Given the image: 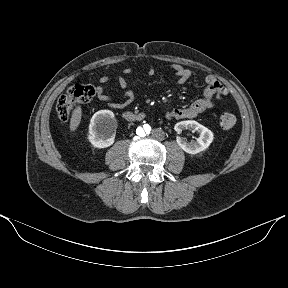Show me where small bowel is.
<instances>
[{
  "label": "small bowel",
  "mask_w": 288,
  "mask_h": 288,
  "mask_svg": "<svg viewBox=\"0 0 288 288\" xmlns=\"http://www.w3.org/2000/svg\"><path fill=\"white\" fill-rule=\"evenodd\" d=\"M170 69L174 72L178 84H185L192 76L190 69L183 67L180 64H171ZM133 70L126 68L118 77V84L124 90L121 98H112L104 89L103 86L109 83L110 78L102 76L99 79L101 85L96 87L97 99L105 102L108 106L116 109H121L135 100V94L128 89V84L125 75L132 73ZM149 76L155 74V69L150 68L147 72ZM206 86L203 91V96L183 108H174L165 113L167 120L173 119H193L204 111L211 109L215 105V101H221L227 95V89L214 76H207L205 79Z\"/></svg>",
  "instance_id": "small-bowel-1"
}]
</instances>
